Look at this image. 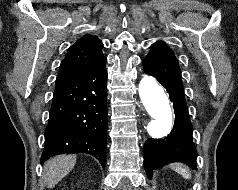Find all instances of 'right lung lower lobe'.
I'll list each match as a JSON object with an SVG mask.
<instances>
[{"mask_svg":"<svg viewBox=\"0 0 238 190\" xmlns=\"http://www.w3.org/2000/svg\"><path fill=\"white\" fill-rule=\"evenodd\" d=\"M106 60L55 87L41 162L53 155L84 152L106 166Z\"/></svg>","mask_w":238,"mask_h":190,"instance_id":"98d812e1","label":"right lung lower lobe"}]
</instances>
